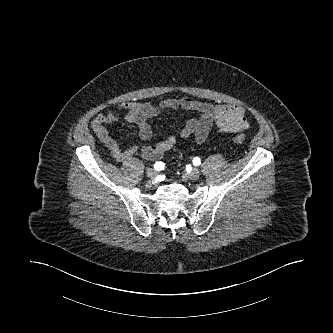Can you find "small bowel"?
Wrapping results in <instances>:
<instances>
[{
	"instance_id": "1",
	"label": "small bowel",
	"mask_w": 333,
	"mask_h": 333,
	"mask_svg": "<svg viewBox=\"0 0 333 333\" xmlns=\"http://www.w3.org/2000/svg\"><path fill=\"white\" fill-rule=\"evenodd\" d=\"M181 110L195 111L199 114L198 118L188 119L180 130V137L184 140L193 139L196 143H202L214 126L222 133H240L249 128L241 107L227 104L213 106L188 97L167 98L158 105L148 102H125L114 110L97 114L91 122V128L97 138L110 150L116 161L124 162L137 152H141L146 159L155 160L176 145L178 140L176 136H169L153 144L122 148L106 126L125 114L127 122L138 126L140 138L148 141L153 136L150 119L165 111Z\"/></svg>"
}]
</instances>
